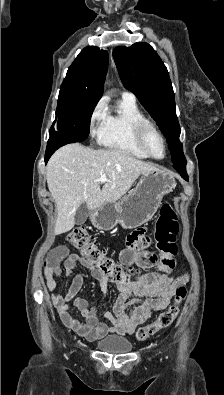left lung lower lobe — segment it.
Wrapping results in <instances>:
<instances>
[{"mask_svg":"<svg viewBox=\"0 0 224 395\" xmlns=\"http://www.w3.org/2000/svg\"><path fill=\"white\" fill-rule=\"evenodd\" d=\"M174 168L181 174L183 178L188 180V176L186 173V159L184 158L182 161L174 164Z\"/></svg>","mask_w":224,"mask_h":395,"instance_id":"left-lung-lower-lobe-1","label":"left lung lower lobe"}]
</instances>
